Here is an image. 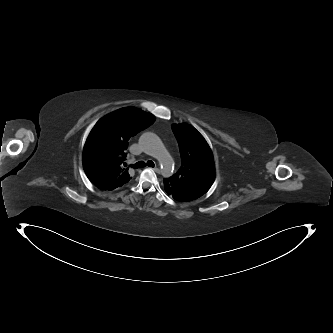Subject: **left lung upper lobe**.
Segmentation results:
<instances>
[{"label": "left lung upper lobe", "mask_w": 333, "mask_h": 333, "mask_svg": "<svg viewBox=\"0 0 333 333\" xmlns=\"http://www.w3.org/2000/svg\"><path fill=\"white\" fill-rule=\"evenodd\" d=\"M179 144L182 165L166 178L168 195L181 201H192L204 195L214 181V161L204 137L187 124L173 125Z\"/></svg>", "instance_id": "1"}]
</instances>
